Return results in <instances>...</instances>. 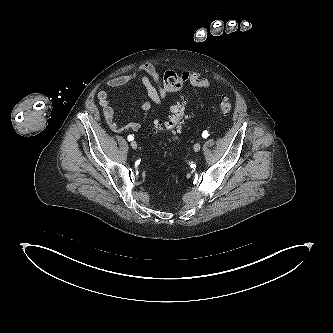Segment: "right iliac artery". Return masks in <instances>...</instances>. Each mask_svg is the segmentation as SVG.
Segmentation results:
<instances>
[{
    "label": "right iliac artery",
    "mask_w": 333,
    "mask_h": 333,
    "mask_svg": "<svg viewBox=\"0 0 333 333\" xmlns=\"http://www.w3.org/2000/svg\"><path fill=\"white\" fill-rule=\"evenodd\" d=\"M133 139H134V136H133V135H129V136H128V140H129V141H132Z\"/></svg>",
    "instance_id": "obj_1"
}]
</instances>
